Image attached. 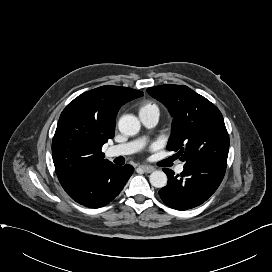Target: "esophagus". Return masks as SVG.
Wrapping results in <instances>:
<instances>
[{
	"label": "esophagus",
	"mask_w": 272,
	"mask_h": 272,
	"mask_svg": "<svg viewBox=\"0 0 272 272\" xmlns=\"http://www.w3.org/2000/svg\"><path fill=\"white\" fill-rule=\"evenodd\" d=\"M145 173H151L155 170L154 167L147 166V165H140L139 166Z\"/></svg>",
	"instance_id": "34e87169"
}]
</instances>
